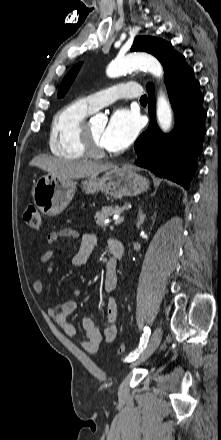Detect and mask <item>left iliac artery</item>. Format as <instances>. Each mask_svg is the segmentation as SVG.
Here are the masks:
<instances>
[{"label": "left iliac artery", "mask_w": 221, "mask_h": 440, "mask_svg": "<svg viewBox=\"0 0 221 440\" xmlns=\"http://www.w3.org/2000/svg\"><path fill=\"white\" fill-rule=\"evenodd\" d=\"M151 330L149 327H145L144 328V334L142 335L141 339H140V345L138 347V349H136L134 352H132L129 356H127L125 358L126 362H132L134 360H136L139 356V354L141 353V351L146 347L147 342L149 340V336H150Z\"/></svg>", "instance_id": "1"}]
</instances>
